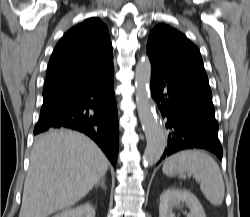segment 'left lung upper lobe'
<instances>
[{
    "label": "left lung upper lobe",
    "instance_id": "left-lung-upper-lobe-1",
    "mask_svg": "<svg viewBox=\"0 0 250 217\" xmlns=\"http://www.w3.org/2000/svg\"><path fill=\"white\" fill-rule=\"evenodd\" d=\"M147 52L167 66L205 72L198 48L184 34L168 25L159 24L151 31Z\"/></svg>",
    "mask_w": 250,
    "mask_h": 217
}]
</instances>
